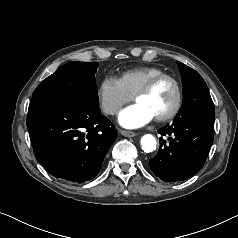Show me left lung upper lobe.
<instances>
[{
	"mask_svg": "<svg viewBox=\"0 0 238 238\" xmlns=\"http://www.w3.org/2000/svg\"><path fill=\"white\" fill-rule=\"evenodd\" d=\"M177 66L182 76L183 103L175 118L215 117L214 104L203 78L179 61Z\"/></svg>",
	"mask_w": 238,
	"mask_h": 238,
	"instance_id": "1",
	"label": "left lung upper lobe"
}]
</instances>
